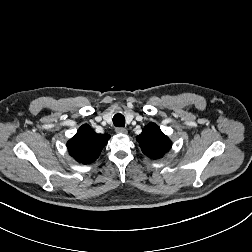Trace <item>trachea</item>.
<instances>
[{
    "mask_svg": "<svg viewBox=\"0 0 252 252\" xmlns=\"http://www.w3.org/2000/svg\"><path fill=\"white\" fill-rule=\"evenodd\" d=\"M113 124L116 127H124L125 126V117L122 114H115L113 117Z\"/></svg>",
    "mask_w": 252,
    "mask_h": 252,
    "instance_id": "3493384b",
    "label": "trachea"
}]
</instances>
